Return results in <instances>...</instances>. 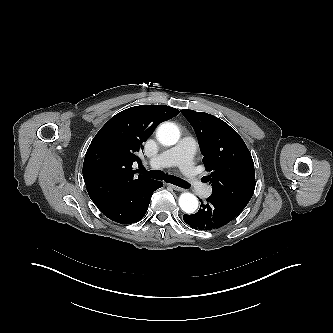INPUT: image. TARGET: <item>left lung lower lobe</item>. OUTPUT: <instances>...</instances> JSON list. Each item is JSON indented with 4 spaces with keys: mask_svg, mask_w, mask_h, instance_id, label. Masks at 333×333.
<instances>
[{
    "mask_svg": "<svg viewBox=\"0 0 333 333\" xmlns=\"http://www.w3.org/2000/svg\"><path fill=\"white\" fill-rule=\"evenodd\" d=\"M241 212L211 195L197 213L184 215L183 220L194 229L213 230L224 226Z\"/></svg>",
    "mask_w": 333,
    "mask_h": 333,
    "instance_id": "0a47b994",
    "label": "left lung lower lobe"
}]
</instances>
